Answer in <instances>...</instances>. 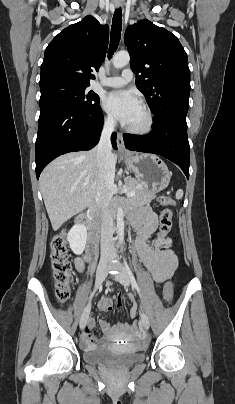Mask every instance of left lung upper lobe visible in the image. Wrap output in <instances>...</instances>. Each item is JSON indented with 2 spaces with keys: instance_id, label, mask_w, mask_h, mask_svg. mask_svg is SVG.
I'll return each instance as SVG.
<instances>
[{
  "instance_id": "5c2ea615",
  "label": "left lung upper lobe",
  "mask_w": 235,
  "mask_h": 404,
  "mask_svg": "<svg viewBox=\"0 0 235 404\" xmlns=\"http://www.w3.org/2000/svg\"><path fill=\"white\" fill-rule=\"evenodd\" d=\"M136 74L155 119L169 113L187 114L190 94L188 59L178 38L148 20L130 25L124 35Z\"/></svg>"
}]
</instances>
